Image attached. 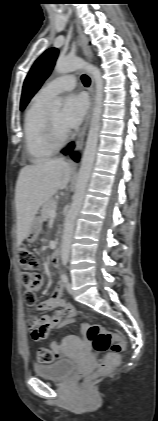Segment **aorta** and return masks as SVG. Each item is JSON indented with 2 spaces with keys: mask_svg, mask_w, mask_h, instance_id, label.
Returning <instances> with one entry per match:
<instances>
[{
  "mask_svg": "<svg viewBox=\"0 0 158 421\" xmlns=\"http://www.w3.org/2000/svg\"><path fill=\"white\" fill-rule=\"evenodd\" d=\"M54 70L59 74H65L75 70H84L92 76L95 82L94 108L91 116L86 146L82 157L81 167L78 173L73 201L64 221L61 243V260L63 263H66L70 255L75 220L83 204L85 190L90 178L97 150L100 119L103 106V79L101 72L97 67L88 64L84 60L77 57L59 58L56 61ZM60 107L61 102L59 100H54L50 104V108L53 110H59Z\"/></svg>",
  "mask_w": 158,
  "mask_h": 421,
  "instance_id": "1",
  "label": "aorta"
}]
</instances>
